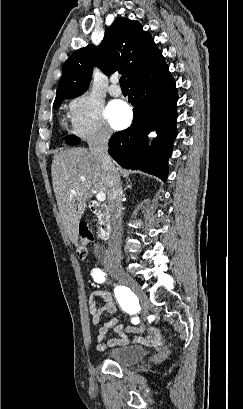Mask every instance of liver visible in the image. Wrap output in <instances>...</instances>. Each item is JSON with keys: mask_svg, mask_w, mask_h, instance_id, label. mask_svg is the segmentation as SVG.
<instances>
[{"mask_svg": "<svg viewBox=\"0 0 243 409\" xmlns=\"http://www.w3.org/2000/svg\"><path fill=\"white\" fill-rule=\"evenodd\" d=\"M51 173L62 223L71 242L77 245L78 225L87 207L86 201L94 191L108 194L106 171L99 158L88 149L78 147L55 154Z\"/></svg>", "mask_w": 243, "mask_h": 409, "instance_id": "liver-1", "label": "liver"}]
</instances>
